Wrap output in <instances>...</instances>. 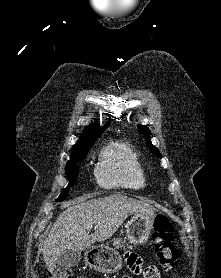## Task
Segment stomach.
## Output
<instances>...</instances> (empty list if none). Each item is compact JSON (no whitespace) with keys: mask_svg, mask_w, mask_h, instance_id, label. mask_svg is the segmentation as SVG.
<instances>
[{"mask_svg":"<svg viewBox=\"0 0 221 278\" xmlns=\"http://www.w3.org/2000/svg\"><path fill=\"white\" fill-rule=\"evenodd\" d=\"M154 213L135 214L127 223V239L133 245L146 243L154 228ZM87 264L94 270L103 273H116L122 268L119 253L108 245L93 246L85 254Z\"/></svg>","mask_w":221,"mask_h":278,"instance_id":"stomach-1","label":"stomach"}]
</instances>
